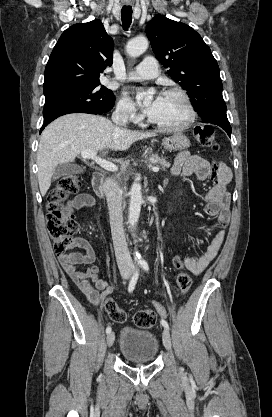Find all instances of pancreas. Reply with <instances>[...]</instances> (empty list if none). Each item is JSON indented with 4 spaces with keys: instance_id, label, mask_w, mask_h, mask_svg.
<instances>
[{
    "instance_id": "pancreas-1",
    "label": "pancreas",
    "mask_w": 272,
    "mask_h": 417,
    "mask_svg": "<svg viewBox=\"0 0 272 417\" xmlns=\"http://www.w3.org/2000/svg\"><path fill=\"white\" fill-rule=\"evenodd\" d=\"M150 163L157 164L161 167V170L165 171L167 168L170 167V163L167 162L166 158L160 157L158 155H152L149 158Z\"/></svg>"
}]
</instances>
